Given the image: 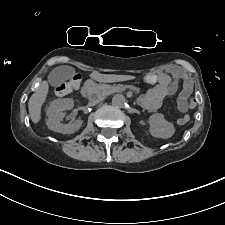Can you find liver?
I'll return each instance as SVG.
<instances>
[{
	"label": "liver",
	"mask_w": 225,
	"mask_h": 225,
	"mask_svg": "<svg viewBox=\"0 0 225 225\" xmlns=\"http://www.w3.org/2000/svg\"><path fill=\"white\" fill-rule=\"evenodd\" d=\"M91 78L98 82H117L130 79L128 76L100 74L99 72L91 73ZM49 91L47 81H42L37 91L32 94L28 101L29 116L34 124H37L41 119V108L44 104Z\"/></svg>",
	"instance_id": "1"
}]
</instances>
